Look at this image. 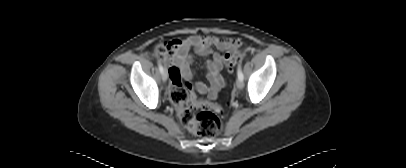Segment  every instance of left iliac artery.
<instances>
[{
    "label": "left iliac artery",
    "instance_id": "44dca946",
    "mask_svg": "<svg viewBox=\"0 0 406 168\" xmlns=\"http://www.w3.org/2000/svg\"><path fill=\"white\" fill-rule=\"evenodd\" d=\"M237 75H238V79H241V80L244 79V75H243L242 70H241V64L238 65Z\"/></svg>",
    "mask_w": 406,
    "mask_h": 168
}]
</instances>
